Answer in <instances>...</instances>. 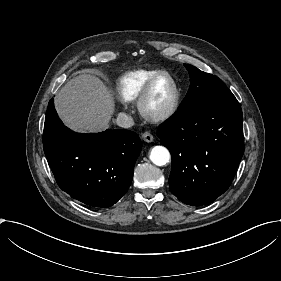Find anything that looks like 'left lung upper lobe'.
<instances>
[{
  "instance_id": "5c2ea615",
  "label": "left lung upper lobe",
  "mask_w": 281,
  "mask_h": 281,
  "mask_svg": "<svg viewBox=\"0 0 281 281\" xmlns=\"http://www.w3.org/2000/svg\"><path fill=\"white\" fill-rule=\"evenodd\" d=\"M190 74V87L178 110L196 107L215 101L235 99L232 92L218 77L184 64Z\"/></svg>"
}]
</instances>
